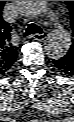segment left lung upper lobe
<instances>
[{
    "instance_id": "5c2ea615",
    "label": "left lung upper lobe",
    "mask_w": 74,
    "mask_h": 122,
    "mask_svg": "<svg viewBox=\"0 0 74 122\" xmlns=\"http://www.w3.org/2000/svg\"><path fill=\"white\" fill-rule=\"evenodd\" d=\"M66 2L71 12V27L74 36V1H66ZM66 55H68L70 58H74V39L72 40V45Z\"/></svg>"
}]
</instances>
